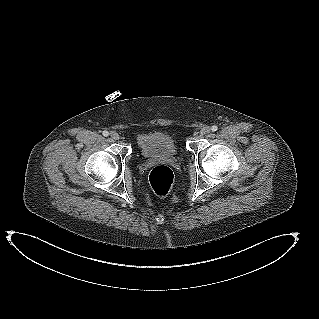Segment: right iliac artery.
<instances>
[{"instance_id": "obj_1", "label": "right iliac artery", "mask_w": 319, "mask_h": 319, "mask_svg": "<svg viewBox=\"0 0 319 319\" xmlns=\"http://www.w3.org/2000/svg\"><path fill=\"white\" fill-rule=\"evenodd\" d=\"M109 135L108 131H103V136L107 137Z\"/></svg>"}]
</instances>
